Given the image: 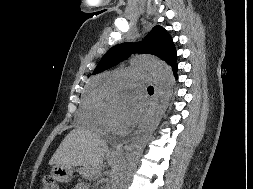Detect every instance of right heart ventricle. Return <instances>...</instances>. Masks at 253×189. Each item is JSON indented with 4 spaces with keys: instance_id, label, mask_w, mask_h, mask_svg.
Here are the masks:
<instances>
[{
    "instance_id": "obj_1",
    "label": "right heart ventricle",
    "mask_w": 253,
    "mask_h": 189,
    "mask_svg": "<svg viewBox=\"0 0 253 189\" xmlns=\"http://www.w3.org/2000/svg\"><path fill=\"white\" fill-rule=\"evenodd\" d=\"M110 91L111 87L106 82L89 89L79 111L81 125L95 132H105L108 129L109 109L105 100Z\"/></svg>"
}]
</instances>
